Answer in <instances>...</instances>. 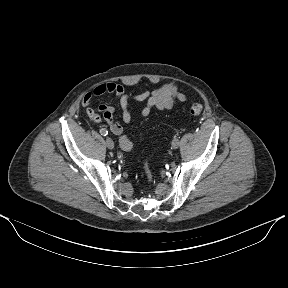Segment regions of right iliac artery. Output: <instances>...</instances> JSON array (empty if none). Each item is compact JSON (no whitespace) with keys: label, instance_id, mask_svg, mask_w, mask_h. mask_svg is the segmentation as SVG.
Instances as JSON below:
<instances>
[{"label":"right iliac artery","instance_id":"82829eb1","mask_svg":"<svg viewBox=\"0 0 288 288\" xmlns=\"http://www.w3.org/2000/svg\"><path fill=\"white\" fill-rule=\"evenodd\" d=\"M100 134L102 136H107L108 135V131L105 128L100 129Z\"/></svg>","mask_w":288,"mask_h":288}]
</instances>
